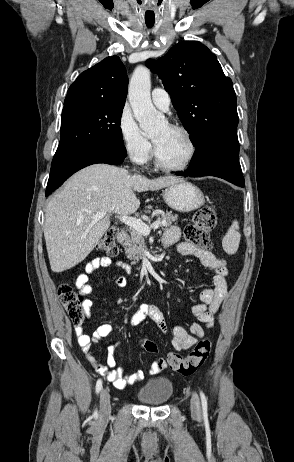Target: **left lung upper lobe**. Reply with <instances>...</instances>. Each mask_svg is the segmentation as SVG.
Instances as JSON below:
<instances>
[{
    "instance_id": "obj_1",
    "label": "left lung upper lobe",
    "mask_w": 294,
    "mask_h": 462,
    "mask_svg": "<svg viewBox=\"0 0 294 462\" xmlns=\"http://www.w3.org/2000/svg\"><path fill=\"white\" fill-rule=\"evenodd\" d=\"M147 66L158 73L194 146L220 131L237 127L236 94L216 56L198 41L173 46Z\"/></svg>"
}]
</instances>
